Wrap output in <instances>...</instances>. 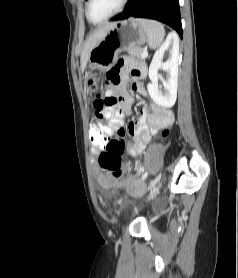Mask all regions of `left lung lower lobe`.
<instances>
[{"label": "left lung lower lobe", "mask_w": 238, "mask_h": 278, "mask_svg": "<svg viewBox=\"0 0 238 278\" xmlns=\"http://www.w3.org/2000/svg\"><path fill=\"white\" fill-rule=\"evenodd\" d=\"M130 17L149 18L163 22L176 30L182 38L178 0H128L124 11L111 20H124Z\"/></svg>", "instance_id": "1"}]
</instances>
